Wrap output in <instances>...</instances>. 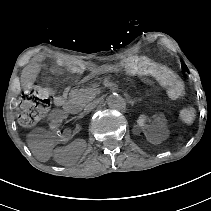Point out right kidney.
Returning a JSON list of instances; mask_svg holds the SVG:
<instances>
[{
	"mask_svg": "<svg viewBox=\"0 0 211 211\" xmlns=\"http://www.w3.org/2000/svg\"><path fill=\"white\" fill-rule=\"evenodd\" d=\"M66 123V116L59 112H53L48 117L47 126L56 138L62 139L65 143H70L73 140V135L70 132H66L62 127L66 125Z\"/></svg>",
	"mask_w": 211,
	"mask_h": 211,
	"instance_id": "1",
	"label": "right kidney"
}]
</instances>
